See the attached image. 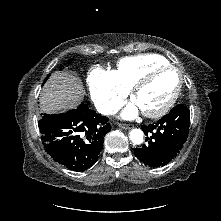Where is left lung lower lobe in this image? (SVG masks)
I'll return each mask as SVG.
<instances>
[{"mask_svg": "<svg viewBox=\"0 0 221 221\" xmlns=\"http://www.w3.org/2000/svg\"><path fill=\"white\" fill-rule=\"evenodd\" d=\"M189 124V109L178 104L157 122L142 125L147 143L134 149L135 156L150 167L168 164L183 147L188 137Z\"/></svg>", "mask_w": 221, "mask_h": 221, "instance_id": "obj_1", "label": "left lung lower lobe"}]
</instances>
